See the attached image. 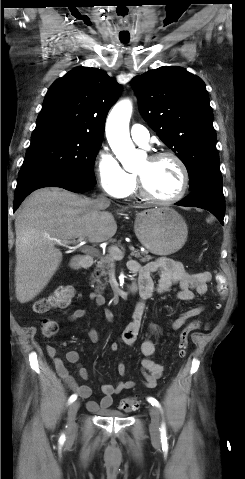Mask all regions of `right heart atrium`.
Wrapping results in <instances>:
<instances>
[{
	"instance_id": "1",
	"label": "right heart atrium",
	"mask_w": 245,
	"mask_h": 479,
	"mask_svg": "<svg viewBox=\"0 0 245 479\" xmlns=\"http://www.w3.org/2000/svg\"><path fill=\"white\" fill-rule=\"evenodd\" d=\"M96 171L102 190L109 196L123 197L128 187V174L116 157L106 148L102 149L96 162Z\"/></svg>"
}]
</instances>
